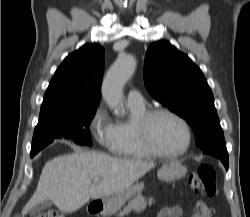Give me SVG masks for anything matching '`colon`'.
Here are the masks:
<instances>
[{"label": "colon", "mask_w": 250, "mask_h": 217, "mask_svg": "<svg viewBox=\"0 0 250 217\" xmlns=\"http://www.w3.org/2000/svg\"><path fill=\"white\" fill-rule=\"evenodd\" d=\"M189 186L197 194L213 195L216 191V173L212 166L202 165L196 171L192 172L188 178ZM195 211L201 217H209L212 209L204 202H198L195 205ZM16 217H23L18 215ZM35 217H64L60 212L51 210L46 213L36 215Z\"/></svg>", "instance_id": "1"}]
</instances>
